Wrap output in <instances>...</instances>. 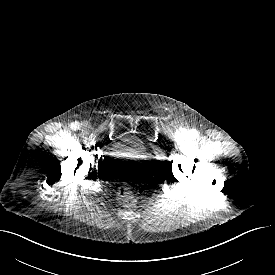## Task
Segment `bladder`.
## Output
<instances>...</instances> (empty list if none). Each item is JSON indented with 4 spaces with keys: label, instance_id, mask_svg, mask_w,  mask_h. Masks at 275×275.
<instances>
[{
    "label": "bladder",
    "instance_id": "31cf9c89",
    "mask_svg": "<svg viewBox=\"0 0 275 275\" xmlns=\"http://www.w3.org/2000/svg\"><path fill=\"white\" fill-rule=\"evenodd\" d=\"M155 157L142 140L125 136L115 142L107 152L105 168L116 179L141 180L151 174Z\"/></svg>",
    "mask_w": 275,
    "mask_h": 275
}]
</instances>
